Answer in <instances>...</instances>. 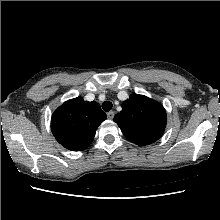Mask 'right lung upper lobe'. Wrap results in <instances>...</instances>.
Segmentation results:
<instances>
[{"mask_svg":"<svg viewBox=\"0 0 220 220\" xmlns=\"http://www.w3.org/2000/svg\"><path fill=\"white\" fill-rule=\"evenodd\" d=\"M107 118L97 102L77 97L64 102L52 115L51 130L66 149L81 151L93 141L98 126Z\"/></svg>","mask_w":220,"mask_h":220,"instance_id":"1","label":"right lung upper lobe"}]
</instances>
